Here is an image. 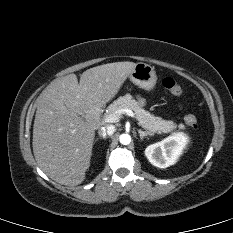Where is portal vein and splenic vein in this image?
Listing matches in <instances>:
<instances>
[{"label": "portal vein and splenic vein", "instance_id": "obj_1", "mask_svg": "<svg viewBox=\"0 0 233 233\" xmlns=\"http://www.w3.org/2000/svg\"><path fill=\"white\" fill-rule=\"evenodd\" d=\"M122 114H125V115L132 117V118H135V114L132 110L124 108V109H120V110L116 111L113 114L105 116L104 121L107 123L118 122Z\"/></svg>", "mask_w": 233, "mask_h": 233}]
</instances>
